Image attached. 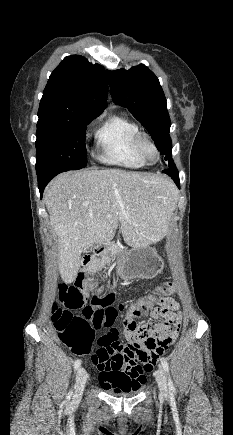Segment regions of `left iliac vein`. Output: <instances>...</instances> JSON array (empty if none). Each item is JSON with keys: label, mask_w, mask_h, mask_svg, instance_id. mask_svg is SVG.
Here are the masks:
<instances>
[{"label": "left iliac vein", "mask_w": 233, "mask_h": 435, "mask_svg": "<svg viewBox=\"0 0 233 435\" xmlns=\"http://www.w3.org/2000/svg\"><path fill=\"white\" fill-rule=\"evenodd\" d=\"M156 380H157L161 395L167 396L168 383H167L165 371L162 367H159L158 370L156 371Z\"/></svg>", "instance_id": "left-iliac-vein-1"}]
</instances>
